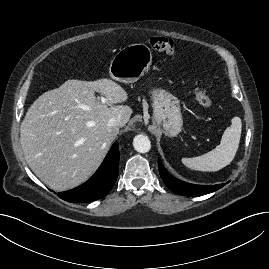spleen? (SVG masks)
<instances>
[{
	"mask_svg": "<svg viewBox=\"0 0 269 269\" xmlns=\"http://www.w3.org/2000/svg\"><path fill=\"white\" fill-rule=\"evenodd\" d=\"M241 130V119L234 117L231 120V126L224 131L221 142L216 148L201 156L182 158V163L190 169L205 172H215L226 167L236 155Z\"/></svg>",
	"mask_w": 269,
	"mask_h": 269,
	"instance_id": "obj_1",
	"label": "spleen"
}]
</instances>
